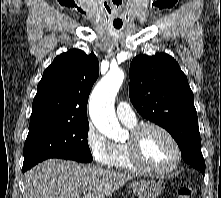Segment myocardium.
Returning <instances> with one entry per match:
<instances>
[{
  "mask_svg": "<svg viewBox=\"0 0 221 198\" xmlns=\"http://www.w3.org/2000/svg\"><path fill=\"white\" fill-rule=\"evenodd\" d=\"M150 129H155L163 133L172 143L175 151V159L174 162L166 168L163 169H155L152 167H149L143 160L142 155H141V140L143 134ZM127 146L130 154V158L133 162V164L136 166V168L144 173L154 175V176H163L167 175L174 170L178 168V166L181 163L182 160V152H181V147L179 145V142L175 138V136L164 126L149 122V123H144L139 126H136L134 129H132L130 138L127 141Z\"/></svg>",
  "mask_w": 221,
  "mask_h": 198,
  "instance_id": "obj_1",
  "label": "myocardium"
}]
</instances>
